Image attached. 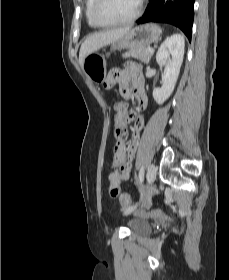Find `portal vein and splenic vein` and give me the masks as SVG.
<instances>
[{"mask_svg": "<svg viewBox=\"0 0 229 280\" xmlns=\"http://www.w3.org/2000/svg\"><path fill=\"white\" fill-rule=\"evenodd\" d=\"M148 52L154 53V50L152 48H148Z\"/></svg>", "mask_w": 229, "mask_h": 280, "instance_id": "portal-vein-and-splenic-vein-1", "label": "portal vein and splenic vein"}]
</instances>
